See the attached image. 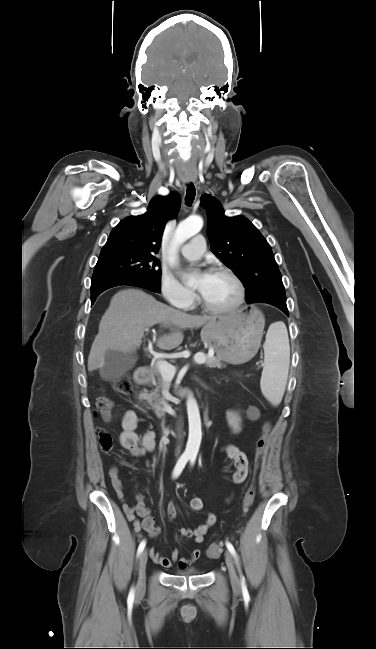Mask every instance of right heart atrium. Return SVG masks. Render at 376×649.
<instances>
[{
    "instance_id": "right-heart-atrium-1",
    "label": "right heart atrium",
    "mask_w": 376,
    "mask_h": 649,
    "mask_svg": "<svg viewBox=\"0 0 376 649\" xmlns=\"http://www.w3.org/2000/svg\"><path fill=\"white\" fill-rule=\"evenodd\" d=\"M159 286L163 298L174 307L188 309L195 301V293L169 271L161 272Z\"/></svg>"
}]
</instances>
